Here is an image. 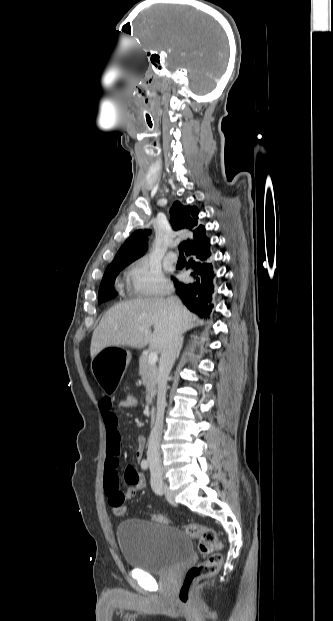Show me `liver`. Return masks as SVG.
Here are the masks:
<instances>
[{
    "mask_svg": "<svg viewBox=\"0 0 333 621\" xmlns=\"http://www.w3.org/2000/svg\"><path fill=\"white\" fill-rule=\"evenodd\" d=\"M176 318L182 332L204 323L182 304ZM151 326H154L153 333ZM169 326L170 310L165 299L145 298L119 303L104 314L94 330L90 356L93 359L106 347L141 349L148 344L156 352H162Z\"/></svg>",
    "mask_w": 333,
    "mask_h": 621,
    "instance_id": "obj_1",
    "label": "liver"
}]
</instances>
